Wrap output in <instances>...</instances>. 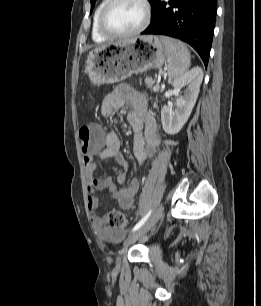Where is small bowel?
I'll use <instances>...</instances> for the list:
<instances>
[{"label":"small bowel","mask_w":261,"mask_h":306,"mask_svg":"<svg viewBox=\"0 0 261 306\" xmlns=\"http://www.w3.org/2000/svg\"><path fill=\"white\" fill-rule=\"evenodd\" d=\"M127 103L131 106L127 114V121L134 132L133 154L136 161L139 164H143L147 158L155 152L160 143L156 120L147 111L145 96L133 90L128 85H118L104 98L101 106V114L104 117H109L122 109ZM104 142L105 146L99 151L98 156L103 160L113 159L120 166L126 168V159L120 152V136L116 132L110 131L106 134ZM84 165L88 192L87 206L92 215L93 227L101 239L111 243L120 242L125 237V231L108 227L106 218L97 215L99 200L95 196V193L100 190H107L122 208L130 209L133 205L134 196L139 189V181L137 179H132L127 186L117 190L112 178H95L93 176L96 170V163L93 155L84 157ZM116 182L119 185H124L126 182V174H118Z\"/></svg>","instance_id":"obj_1"}]
</instances>
